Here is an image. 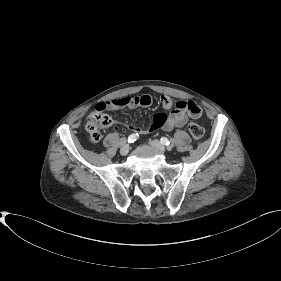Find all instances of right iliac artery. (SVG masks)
I'll list each match as a JSON object with an SVG mask.
<instances>
[{
  "instance_id": "1",
  "label": "right iliac artery",
  "mask_w": 281,
  "mask_h": 281,
  "mask_svg": "<svg viewBox=\"0 0 281 281\" xmlns=\"http://www.w3.org/2000/svg\"><path fill=\"white\" fill-rule=\"evenodd\" d=\"M138 138V134H131L129 137H128V142L129 143H133L137 140Z\"/></svg>"
}]
</instances>
